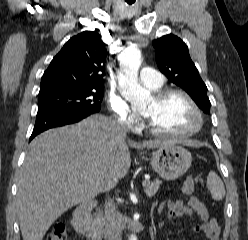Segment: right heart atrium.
Returning <instances> with one entry per match:
<instances>
[{
	"label": "right heart atrium",
	"mask_w": 248,
	"mask_h": 240,
	"mask_svg": "<svg viewBox=\"0 0 248 240\" xmlns=\"http://www.w3.org/2000/svg\"><path fill=\"white\" fill-rule=\"evenodd\" d=\"M110 110L116 121L129 129H137L140 125L138 116L131 110L120 96H113L109 101Z\"/></svg>",
	"instance_id": "1"
}]
</instances>
